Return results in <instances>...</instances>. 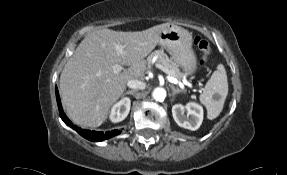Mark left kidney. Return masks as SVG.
Returning <instances> with one entry per match:
<instances>
[{
    "label": "left kidney",
    "mask_w": 287,
    "mask_h": 175,
    "mask_svg": "<svg viewBox=\"0 0 287 175\" xmlns=\"http://www.w3.org/2000/svg\"><path fill=\"white\" fill-rule=\"evenodd\" d=\"M172 115L180 127L195 131L202 124L203 108L194 102H189L185 106L175 104L172 107Z\"/></svg>",
    "instance_id": "5707ae66"
}]
</instances>
